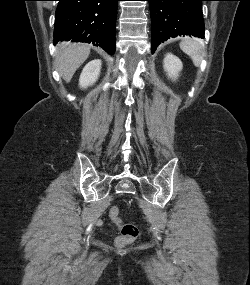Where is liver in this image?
Returning a JSON list of instances; mask_svg holds the SVG:
<instances>
[{
    "mask_svg": "<svg viewBox=\"0 0 250 285\" xmlns=\"http://www.w3.org/2000/svg\"><path fill=\"white\" fill-rule=\"evenodd\" d=\"M90 54V46L62 42L57 48V68L66 82H69L76 70L85 62Z\"/></svg>",
    "mask_w": 250,
    "mask_h": 285,
    "instance_id": "6515ba94",
    "label": "liver"
}]
</instances>
